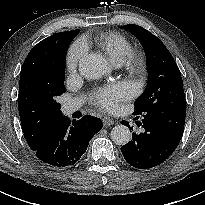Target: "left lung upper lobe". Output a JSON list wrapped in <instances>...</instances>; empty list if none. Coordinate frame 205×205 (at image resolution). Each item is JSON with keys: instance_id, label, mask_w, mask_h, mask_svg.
<instances>
[{"instance_id": "1", "label": "left lung upper lobe", "mask_w": 205, "mask_h": 205, "mask_svg": "<svg viewBox=\"0 0 205 205\" xmlns=\"http://www.w3.org/2000/svg\"><path fill=\"white\" fill-rule=\"evenodd\" d=\"M124 28L139 39L147 59V87L136 100L133 114L143 115L170 102H185L180 70L162 41L138 25L128 24Z\"/></svg>"}]
</instances>
